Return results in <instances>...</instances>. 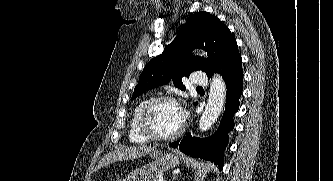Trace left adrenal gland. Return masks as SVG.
Returning <instances> with one entry per match:
<instances>
[{
  "label": "left adrenal gland",
  "instance_id": "obj_1",
  "mask_svg": "<svg viewBox=\"0 0 333 181\" xmlns=\"http://www.w3.org/2000/svg\"><path fill=\"white\" fill-rule=\"evenodd\" d=\"M176 177H177V176H175V177L173 178V181L176 179Z\"/></svg>",
  "mask_w": 333,
  "mask_h": 181
}]
</instances>
